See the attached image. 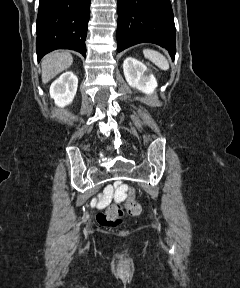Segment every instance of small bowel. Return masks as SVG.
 Listing matches in <instances>:
<instances>
[{
  "label": "small bowel",
  "mask_w": 240,
  "mask_h": 288,
  "mask_svg": "<svg viewBox=\"0 0 240 288\" xmlns=\"http://www.w3.org/2000/svg\"><path fill=\"white\" fill-rule=\"evenodd\" d=\"M124 190H125L124 187L119 188L117 191L118 195H120V196L123 195Z\"/></svg>",
  "instance_id": "obj_1"
}]
</instances>
